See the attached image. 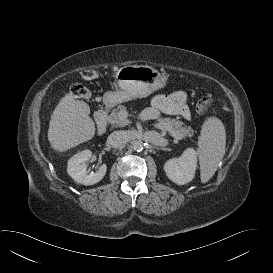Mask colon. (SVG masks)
Instances as JSON below:
<instances>
[{"mask_svg": "<svg viewBox=\"0 0 273 273\" xmlns=\"http://www.w3.org/2000/svg\"><path fill=\"white\" fill-rule=\"evenodd\" d=\"M98 76V71L95 68H88L82 72L84 79H95ZM71 94L77 98L87 99L90 97L89 89L82 84H74L71 86ZM213 103L212 97H204L197 103V112L200 115L206 114L209 107Z\"/></svg>", "mask_w": 273, "mask_h": 273, "instance_id": "obj_1", "label": "colon"}]
</instances>
